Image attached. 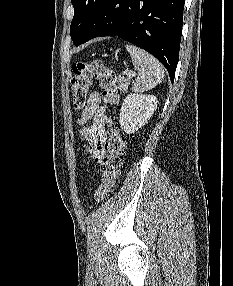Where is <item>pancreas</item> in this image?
<instances>
[{
    "instance_id": "cf45deb5",
    "label": "pancreas",
    "mask_w": 233,
    "mask_h": 286,
    "mask_svg": "<svg viewBox=\"0 0 233 286\" xmlns=\"http://www.w3.org/2000/svg\"><path fill=\"white\" fill-rule=\"evenodd\" d=\"M117 84H118V89L120 91H126L130 82L128 79L124 78V76H119V78L117 80Z\"/></svg>"
}]
</instances>
